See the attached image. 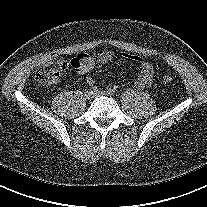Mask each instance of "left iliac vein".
Returning a JSON list of instances; mask_svg holds the SVG:
<instances>
[{"label": "left iliac vein", "mask_w": 207, "mask_h": 207, "mask_svg": "<svg viewBox=\"0 0 207 207\" xmlns=\"http://www.w3.org/2000/svg\"><path fill=\"white\" fill-rule=\"evenodd\" d=\"M105 95H106V93L102 92V91L94 94V96H98V97L99 96H105Z\"/></svg>", "instance_id": "1"}]
</instances>
